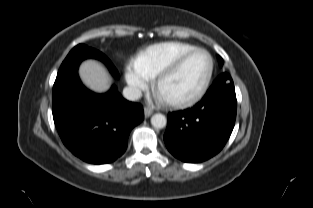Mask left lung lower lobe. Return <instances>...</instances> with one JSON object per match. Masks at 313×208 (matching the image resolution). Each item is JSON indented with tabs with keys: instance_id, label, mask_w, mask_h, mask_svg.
Here are the masks:
<instances>
[{
	"instance_id": "0a47b994",
	"label": "left lung lower lobe",
	"mask_w": 313,
	"mask_h": 208,
	"mask_svg": "<svg viewBox=\"0 0 313 208\" xmlns=\"http://www.w3.org/2000/svg\"><path fill=\"white\" fill-rule=\"evenodd\" d=\"M236 94L230 75H220L191 109L168 114L164 141L176 158L199 163L226 144L236 119Z\"/></svg>"
}]
</instances>
